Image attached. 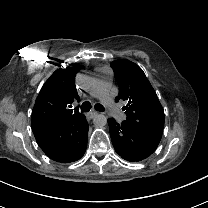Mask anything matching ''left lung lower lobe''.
<instances>
[{
  "mask_svg": "<svg viewBox=\"0 0 208 208\" xmlns=\"http://www.w3.org/2000/svg\"><path fill=\"white\" fill-rule=\"evenodd\" d=\"M108 124L113 147L126 161H142L158 146L155 141L139 134L126 120L118 124L115 119L110 118Z\"/></svg>",
  "mask_w": 208,
  "mask_h": 208,
  "instance_id": "obj_1",
  "label": "left lung lower lobe"
}]
</instances>
